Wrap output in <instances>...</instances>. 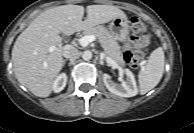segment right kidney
I'll return each instance as SVG.
<instances>
[{
    "instance_id": "ca27d5eb",
    "label": "right kidney",
    "mask_w": 194,
    "mask_h": 133,
    "mask_svg": "<svg viewBox=\"0 0 194 133\" xmlns=\"http://www.w3.org/2000/svg\"><path fill=\"white\" fill-rule=\"evenodd\" d=\"M67 83V75L65 73L60 74L53 83V91L58 93L64 89Z\"/></svg>"
}]
</instances>
